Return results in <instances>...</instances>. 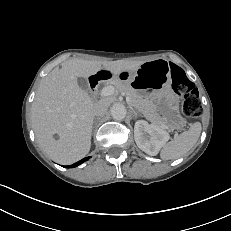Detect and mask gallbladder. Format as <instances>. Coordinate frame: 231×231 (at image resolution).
Segmentation results:
<instances>
[{"label":"gallbladder","instance_id":"1","mask_svg":"<svg viewBox=\"0 0 231 231\" xmlns=\"http://www.w3.org/2000/svg\"><path fill=\"white\" fill-rule=\"evenodd\" d=\"M77 82H78V85H79V87L81 89H83V90H88L89 89V83H88L87 79L79 77L77 79Z\"/></svg>","mask_w":231,"mask_h":231}]
</instances>
